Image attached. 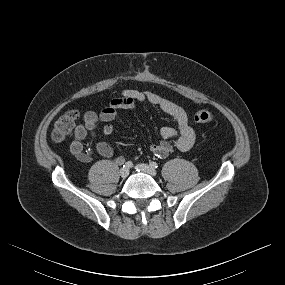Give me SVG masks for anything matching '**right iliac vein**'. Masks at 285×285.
<instances>
[{
    "label": "right iliac vein",
    "instance_id": "63e3f726",
    "mask_svg": "<svg viewBox=\"0 0 285 285\" xmlns=\"http://www.w3.org/2000/svg\"><path fill=\"white\" fill-rule=\"evenodd\" d=\"M128 175H129V170L126 169V168H121V170H120V176H121L122 178H126Z\"/></svg>",
    "mask_w": 285,
    "mask_h": 285
}]
</instances>
